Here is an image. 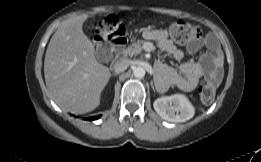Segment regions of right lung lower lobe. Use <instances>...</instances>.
<instances>
[{
  "label": "right lung lower lobe",
  "instance_id": "1",
  "mask_svg": "<svg viewBox=\"0 0 261 162\" xmlns=\"http://www.w3.org/2000/svg\"><path fill=\"white\" fill-rule=\"evenodd\" d=\"M99 117H100V116H94V117L86 118V120L92 121V120L98 119Z\"/></svg>",
  "mask_w": 261,
  "mask_h": 162
}]
</instances>
